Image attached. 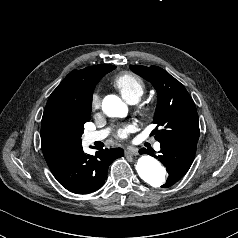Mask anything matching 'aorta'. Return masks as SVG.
Returning a JSON list of instances; mask_svg holds the SVG:
<instances>
[{
    "mask_svg": "<svg viewBox=\"0 0 238 238\" xmlns=\"http://www.w3.org/2000/svg\"><path fill=\"white\" fill-rule=\"evenodd\" d=\"M103 111L111 117H123L127 114V107L121 99L115 95H109L103 100ZM136 171L140 178L148 185L158 188L166 180V170L150 155H142L136 164Z\"/></svg>",
    "mask_w": 238,
    "mask_h": 238,
    "instance_id": "762f6f07",
    "label": "aorta"
}]
</instances>
